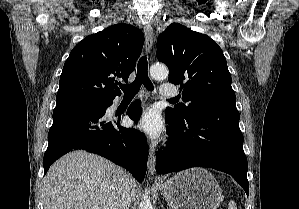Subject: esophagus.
<instances>
[{
  "instance_id": "obj_1",
  "label": "esophagus",
  "mask_w": 299,
  "mask_h": 209,
  "mask_svg": "<svg viewBox=\"0 0 299 209\" xmlns=\"http://www.w3.org/2000/svg\"><path fill=\"white\" fill-rule=\"evenodd\" d=\"M145 34V50L146 54L149 55L153 46V29L150 24H145L143 27ZM148 172L151 176L155 175V149L149 148V156H148Z\"/></svg>"
}]
</instances>
